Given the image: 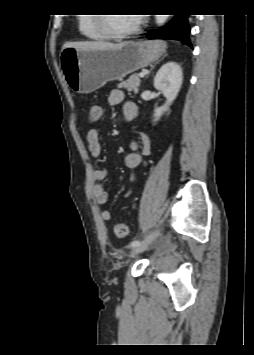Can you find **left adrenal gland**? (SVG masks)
I'll return each instance as SVG.
<instances>
[{"label": "left adrenal gland", "mask_w": 254, "mask_h": 355, "mask_svg": "<svg viewBox=\"0 0 254 355\" xmlns=\"http://www.w3.org/2000/svg\"><path fill=\"white\" fill-rule=\"evenodd\" d=\"M166 56H167V54L164 55V57H166ZM162 59H163V58H162ZM157 63H158V62H157ZM157 63H155V65H156ZM153 68H154V66L151 68V70H152Z\"/></svg>", "instance_id": "left-adrenal-gland-1"}]
</instances>
